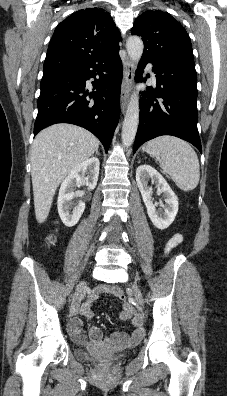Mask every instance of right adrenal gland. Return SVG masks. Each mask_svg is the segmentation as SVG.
<instances>
[{
    "label": "right adrenal gland",
    "mask_w": 227,
    "mask_h": 396,
    "mask_svg": "<svg viewBox=\"0 0 227 396\" xmlns=\"http://www.w3.org/2000/svg\"><path fill=\"white\" fill-rule=\"evenodd\" d=\"M95 154L99 156V152H98V150L96 151V153H95Z\"/></svg>",
    "instance_id": "obj_1"
}]
</instances>
